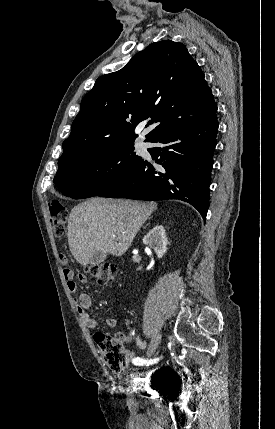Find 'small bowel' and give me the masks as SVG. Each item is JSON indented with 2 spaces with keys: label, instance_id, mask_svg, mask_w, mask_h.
Instances as JSON below:
<instances>
[{
  "label": "small bowel",
  "instance_id": "small-bowel-1",
  "mask_svg": "<svg viewBox=\"0 0 275 429\" xmlns=\"http://www.w3.org/2000/svg\"><path fill=\"white\" fill-rule=\"evenodd\" d=\"M64 277L67 282V287L70 293L75 294L78 290L77 283L74 280V273L71 269L65 268L63 270ZM79 281L82 283L87 282V278L84 275L79 276ZM92 300L89 294L87 293H81L77 298V309L81 316V319L83 323L86 325L89 329H96L98 326V321L95 317L91 316L87 311L91 308ZM107 325L109 327H115L117 324V321L114 317L110 316L107 318ZM118 336H120L124 342H131L135 341L137 346L141 349H145L147 347V343L143 340H141L137 336L133 335H124L119 333Z\"/></svg>",
  "mask_w": 275,
  "mask_h": 429
}]
</instances>
